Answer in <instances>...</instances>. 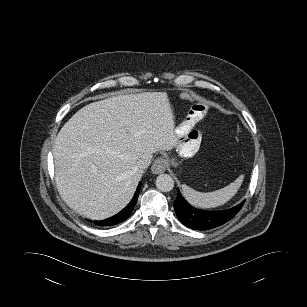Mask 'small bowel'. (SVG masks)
I'll return each mask as SVG.
<instances>
[{"label":"small bowel","mask_w":307,"mask_h":307,"mask_svg":"<svg viewBox=\"0 0 307 307\" xmlns=\"http://www.w3.org/2000/svg\"><path fill=\"white\" fill-rule=\"evenodd\" d=\"M207 111L208 108L204 104L194 105L186 117L185 122L174 128V135L181 139L188 137L189 134L195 131V124L207 114Z\"/></svg>","instance_id":"1"}]
</instances>
